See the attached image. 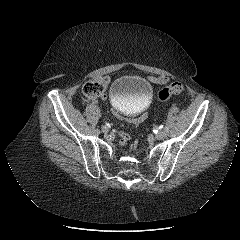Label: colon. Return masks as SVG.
<instances>
[{"mask_svg":"<svg viewBox=\"0 0 240 240\" xmlns=\"http://www.w3.org/2000/svg\"><path fill=\"white\" fill-rule=\"evenodd\" d=\"M106 84L102 79H94L87 82L83 87L84 94L89 98H99L102 93H105ZM184 87L179 82L171 83L170 85L162 88L158 93L160 101L168 100L172 95L180 94L183 92Z\"/></svg>","mask_w":240,"mask_h":240,"instance_id":"obj_1","label":"colon"}]
</instances>
